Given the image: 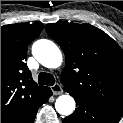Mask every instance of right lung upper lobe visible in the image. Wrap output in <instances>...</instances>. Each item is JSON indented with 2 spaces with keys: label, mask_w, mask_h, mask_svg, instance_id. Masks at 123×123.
<instances>
[{
  "label": "right lung upper lobe",
  "mask_w": 123,
  "mask_h": 123,
  "mask_svg": "<svg viewBox=\"0 0 123 123\" xmlns=\"http://www.w3.org/2000/svg\"><path fill=\"white\" fill-rule=\"evenodd\" d=\"M43 27L36 24L1 26V123H19L39 106L48 90L37 86L25 63L27 47Z\"/></svg>",
  "instance_id": "right-lung-upper-lobe-1"
}]
</instances>
